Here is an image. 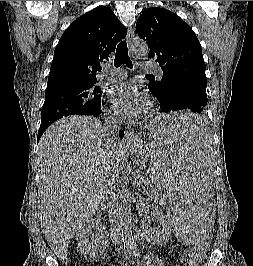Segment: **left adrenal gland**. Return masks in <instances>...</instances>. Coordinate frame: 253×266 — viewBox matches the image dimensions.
Listing matches in <instances>:
<instances>
[{
	"mask_svg": "<svg viewBox=\"0 0 253 266\" xmlns=\"http://www.w3.org/2000/svg\"><path fill=\"white\" fill-rule=\"evenodd\" d=\"M136 181H137V186H139L140 188H143V180L140 178L139 179L137 178Z\"/></svg>",
	"mask_w": 253,
	"mask_h": 266,
	"instance_id": "obj_1",
	"label": "left adrenal gland"
}]
</instances>
